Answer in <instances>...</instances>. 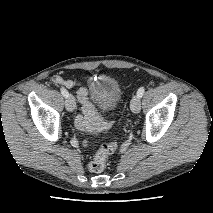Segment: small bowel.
I'll list each match as a JSON object with an SVG mask.
<instances>
[{
    "mask_svg": "<svg viewBox=\"0 0 213 213\" xmlns=\"http://www.w3.org/2000/svg\"><path fill=\"white\" fill-rule=\"evenodd\" d=\"M53 82L64 85L67 88L80 87L81 83L76 80H65L60 76H54ZM77 99L82 107L75 119L76 127L81 131H100L108 126V121H98L93 116L92 104L89 98V91L85 87H80L77 91Z\"/></svg>",
    "mask_w": 213,
    "mask_h": 213,
    "instance_id": "1",
    "label": "small bowel"
}]
</instances>
